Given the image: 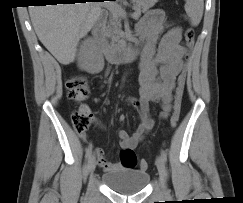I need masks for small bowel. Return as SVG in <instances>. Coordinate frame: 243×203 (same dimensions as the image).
Listing matches in <instances>:
<instances>
[{
	"mask_svg": "<svg viewBox=\"0 0 243 203\" xmlns=\"http://www.w3.org/2000/svg\"><path fill=\"white\" fill-rule=\"evenodd\" d=\"M137 35L144 40L140 58V100H129L138 112L139 126L132 134L119 131L120 147L135 149L143 137L154 128V120L149 112V104L157 103L162 107L161 119L168 118L172 110L173 91L176 78L184 67L185 47L180 43L181 30L165 20L163 11L155 9L147 12L137 25ZM160 40L159 37L162 35ZM93 122L102 125L93 118ZM124 124L125 116L119 117ZM98 164L106 171L122 168L120 163L107 161L101 148L94 149Z\"/></svg>",
	"mask_w": 243,
	"mask_h": 203,
	"instance_id": "1",
	"label": "small bowel"
}]
</instances>
